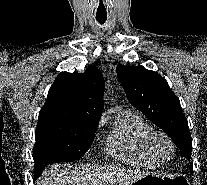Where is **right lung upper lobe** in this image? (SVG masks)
<instances>
[{
	"instance_id": "obj_1",
	"label": "right lung upper lobe",
	"mask_w": 207,
	"mask_h": 185,
	"mask_svg": "<svg viewBox=\"0 0 207 185\" xmlns=\"http://www.w3.org/2000/svg\"><path fill=\"white\" fill-rule=\"evenodd\" d=\"M104 78L90 65L84 73L62 72L49 89L39 119H64L98 126L103 112Z\"/></svg>"
}]
</instances>
